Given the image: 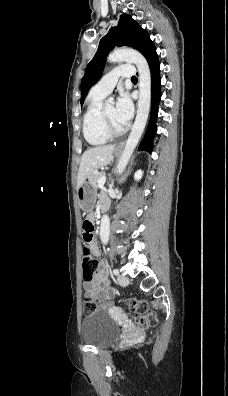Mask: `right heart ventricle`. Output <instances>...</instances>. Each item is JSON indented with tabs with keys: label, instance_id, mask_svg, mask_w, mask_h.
I'll return each instance as SVG.
<instances>
[{
	"label": "right heart ventricle",
	"instance_id": "obj_1",
	"mask_svg": "<svg viewBox=\"0 0 228 396\" xmlns=\"http://www.w3.org/2000/svg\"><path fill=\"white\" fill-rule=\"evenodd\" d=\"M103 96L90 92L87 107L83 116L82 130L85 140L92 146H101L107 143L110 137L105 133L101 111Z\"/></svg>",
	"mask_w": 228,
	"mask_h": 396
}]
</instances>
